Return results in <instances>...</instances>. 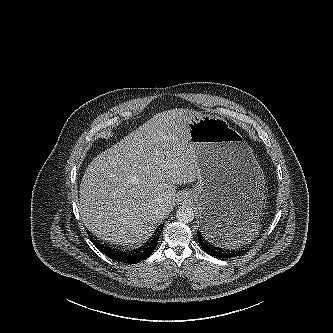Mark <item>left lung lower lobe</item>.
<instances>
[{
    "instance_id": "left-lung-lower-lobe-1",
    "label": "left lung lower lobe",
    "mask_w": 333,
    "mask_h": 333,
    "mask_svg": "<svg viewBox=\"0 0 333 333\" xmlns=\"http://www.w3.org/2000/svg\"><path fill=\"white\" fill-rule=\"evenodd\" d=\"M227 232L221 221H211L204 225L202 231H198V242L212 256L223 259L238 256L236 251L225 249L219 244Z\"/></svg>"
}]
</instances>
